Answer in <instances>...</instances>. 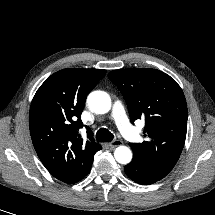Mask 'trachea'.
I'll use <instances>...</instances> for the list:
<instances>
[{
    "label": "trachea",
    "instance_id": "1",
    "mask_svg": "<svg viewBox=\"0 0 215 215\" xmlns=\"http://www.w3.org/2000/svg\"><path fill=\"white\" fill-rule=\"evenodd\" d=\"M114 136L105 128H100L96 133V139L98 142H111Z\"/></svg>",
    "mask_w": 215,
    "mask_h": 215
}]
</instances>
